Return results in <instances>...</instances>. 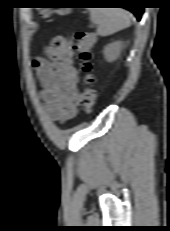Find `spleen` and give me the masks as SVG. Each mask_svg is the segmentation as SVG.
Segmentation results:
<instances>
[{"label": "spleen", "instance_id": "obj_1", "mask_svg": "<svg viewBox=\"0 0 170 231\" xmlns=\"http://www.w3.org/2000/svg\"><path fill=\"white\" fill-rule=\"evenodd\" d=\"M91 21L98 25L97 34L109 36L131 24V16L128 11L121 8H91Z\"/></svg>", "mask_w": 170, "mask_h": 231}]
</instances>
